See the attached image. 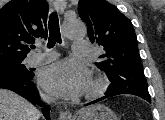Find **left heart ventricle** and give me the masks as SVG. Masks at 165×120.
I'll return each mask as SVG.
<instances>
[{
  "label": "left heart ventricle",
  "mask_w": 165,
  "mask_h": 120,
  "mask_svg": "<svg viewBox=\"0 0 165 120\" xmlns=\"http://www.w3.org/2000/svg\"><path fill=\"white\" fill-rule=\"evenodd\" d=\"M90 88H91V83H90V85H89V87H88L87 91H88Z\"/></svg>",
  "instance_id": "b2bd125f"
}]
</instances>
